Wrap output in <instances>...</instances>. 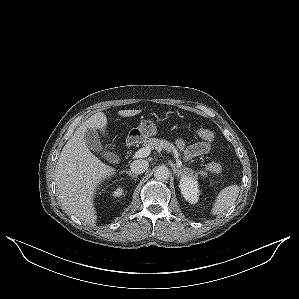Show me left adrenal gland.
I'll list each match as a JSON object with an SVG mask.
<instances>
[{"label":"left adrenal gland","mask_w":299,"mask_h":299,"mask_svg":"<svg viewBox=\"0 0 299 299\" xmlns=\"http://www.w3.org/2000/svg\"><path fill=\"white\" fill-rule=\"evenodd\" d=\"M174 173H176V175H177V176H180V175H182V172H181V170H180V169H178V168H176V167H174Z\"/></svg>","instance_id":"a2214340"}]
</instances>
